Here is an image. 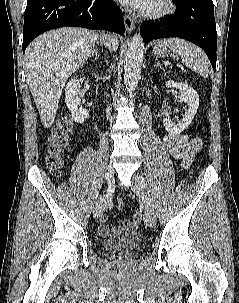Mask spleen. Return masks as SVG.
<instances>
[{"mask_svg": "<svg viewBox=\"0 0 239 303\" xmlns=\"http://www.w3.org/2000/svg\"><path fill=\"white\" fill-rule=\"evenodd\" d=\"M158 48H169L174 53L178 54L182 58V62L191 70L197 72L202 77L207 78L210 73V62L204 51L189 41L170 38L160 40L156 47H154V53L157 54ZM165 66L170 65L169 61H164Z\"/></svg>", "mask_w": 239, "mask_h": 303, "instance_id": "3e777b00", "label": "spleen"}]
</instances>
